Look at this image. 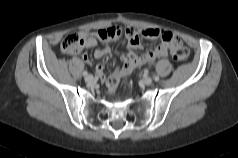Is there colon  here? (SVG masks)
Returning <instances> with one entry per match:
<instances>
[{"mask_svg":"<svg viewBox=\"0 0 238 158\" xmlns=\"http://www.w3.org/2000/svg\"><path fill=\"white\" fill-rule=\"evenodd\" d=\"M99 36L103 40H108L116 35L112 29H103L99 31ZM83 43L84 41L79 33H69L62 41L61 50L65 54H78L83 48ZM171 54L176 61H185L189 57L188 49L178 41L173 43L171 47ZM117 85L118 84L114 85L115 88Z\"/></svg>","mask_w":238,"mask_h":158,"instance_id":"obj_1","label":"colon"}]
</instances>
